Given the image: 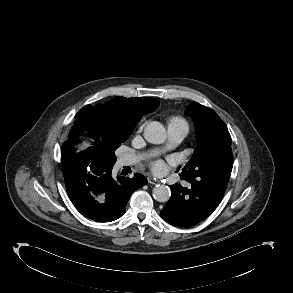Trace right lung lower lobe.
I'll return each instance as SVG.
<instances>
[{"label":"right lung lower lobe","instance_id":"right-lung-lower-lobe-1","mask_svg":"<svg viewBox=\"0 0 293 293\" xmlns=\"http://www.w3.org/2000/svg\"><path fill=\"white\" fill-rule=\"evenodd\" d=\"M114 163L95 158L78 166L65 179L68 196L77 210L97 222H110L120 218L126 210L131 194L147 184L141 174L133 178L112 177Z\"/></svg>","mask_w":293,"mask_h":293}]
</instances>
